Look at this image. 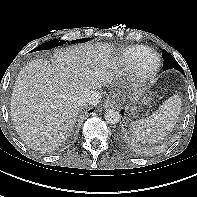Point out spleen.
<instances>
[{
    "label": "spleen",
    "instance_id": "1",
    "mask_svg": "<svg viewBox=\"0 0 197 197\" xmlns=\"http://www.w3.org/2000/svg\"><path fill=\"white\" fill-rule=\"evenodd\" d=\"M178 94L167 99L152 115L131 123V130L138 140L158 142L171 132L181 112Z\"/></svg>",
    "mask_w": 197,
    "mask_h": 197
}]
</instances>
